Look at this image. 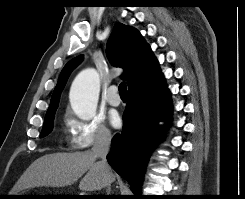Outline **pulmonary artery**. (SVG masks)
<instances>
[{
  "mask_svg": "<svg viewBox=\"0 0 245 199\" xmlns=\"http://www.w3.org/2000/svg\"><path fill=\"white\" fill-rule=\"evenodd\" d=\"M106 100L112 106H119L121 104L117 86L112 85L108 88L106 93Z\"/></svg>",
  "mask_w": 245,
  "mask_h": 199,
  "instance_id": "e3ab8cb5",
  "label": "pulmonary artery"
}]
</instances>
